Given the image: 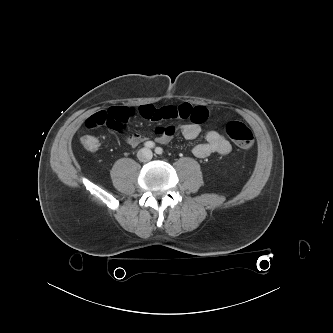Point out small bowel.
<instances>
[{
	"label": "small bowel",
	"instance_id": "obj_1",
	"mask_svg": "<svg viewBox=\"0 0 333 333\" xmlns=\"http://www.w3.org/2000/svg\"><path fill=\"white\" fill-rule=\"evenodd\" d=\"M134 110L127 107H111L107 110H102L92 114L85 121V125L89 129L104 125L101 123L103 116L108 117L105 125L110 128L122 131L127 122L126 112ZM138 113L145 119L153 122H161L170 119L187 120L185 124L180 126L183 136L188 140H193L201 134V124L204 123L209 115L206 107L193 106L189 103H183L177 106H167L163 108H155L151 105H143L138 108ZM173 125L157 126L153 129L156 135V140L159 143L167 144L171 141L175 134ZM147 140V137L139 133H131L127 136L126 141L130 146H137ZM232 149L231 143L219 132L210 130L205 135V141L194 146L192 153L197 158H206L213 153L226 155Z\"/></svg>",
	"mask_w": 333,
	"mask_h": 333
}]
</instances>
